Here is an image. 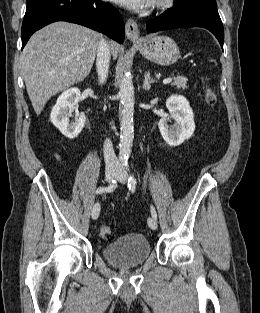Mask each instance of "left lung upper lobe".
<instances>
[{"label": "left lung upper lobe", "instance_id": "left-lung-upper-lobe-1", "mask_svg": "<svg viewBox=\"0 0 260 313\" xmlns=\"http://www.w3.org/2000/svg\"><path fill=\"white\" fill-rule=\"evenodd\" d=\"M175 5L180 8H200L217 11L215 0H175Z\"/></svg>", "mask_w": 260, "mask_h": 313}]
</instances>
